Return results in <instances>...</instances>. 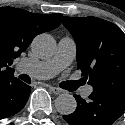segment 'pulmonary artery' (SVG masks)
I'll return each instance as SVG.
<instances>
[{
  "label": "pulmonary artery",
  "mask_w": 125,
  "mask_h": 125,
  "mask_svg": "<svg viewBox=\"0 0 125 125\" xmlns=\"http://www.w3.org/2000/svg\"><path fill=\"white\" fill-rule=\"evenodd\" d=\"M76 56V43L71 37H63L59 40L56 52L53 57L45 60L22 59L21 63L26 64L32 69V76L37 79L49 78L67 66H69ZM91 86L84 88V94L90 95Z\"/></svg>",
  "instance_id": "e3ab8cb5"
}]
</instances>
